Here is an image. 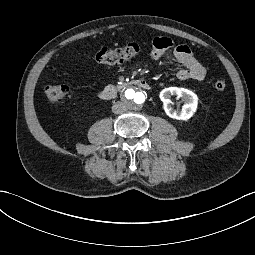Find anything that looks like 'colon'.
I'll return each instance as SVG.
<instances>
[{"label": "colon", "mask_w": 255, "mask_h": 255, "mask_svg": "<svg viewBox=\"0 0 255 255\" xmlns=\"http://www.w3.org/2000/svg\"><path fill=\"white\" fill-rule=\"evenodd\" d=\"M139 51V44L134 41H129L121 48H100L94 54V59L102 64H118L134 57ZM225 88L226 84L223 80H217L214 83V89L217 93L223 92ZM68 93L69 87L64 84H48L44 87L46 98L53 104L62 101Z\"/></svg>", "instance_id": "obj_1"}]
</instances>
